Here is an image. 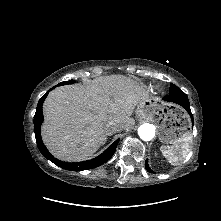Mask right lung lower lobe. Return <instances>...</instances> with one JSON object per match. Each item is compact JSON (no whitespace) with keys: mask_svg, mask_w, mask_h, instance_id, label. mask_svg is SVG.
<instances>
[{"mask_svg":"<svg viewBox=\"0 0 221 221\" xmlns=\"http://www.w3.org/2000/svg\"><path fill=\"white\" fill-rule=\"evenodd\" d=\"M52 89H54V87L51 88L49 91H51ZM49 91L44 96H42V98L39 100L37 108H36V113L34 116V132H35V137H36V143H37V146H38L41 154L46 159L50 160L51 162H53L57 166H59L63 169H66V170H70V171H82V170L92 169V168L98 167V166L104 164L106 161H108L112 157V155L114 154L117 144L119 142V139H117L113 144H111L99 156H97L91 160H87V161H83V162H79V163L63 162V161H60V160L54 158L49 153V151L47 150V148L45 147V145L42 142L41 134H40V126L44 120L43 113H42V105H43V102H44L45 98L47 97Z\"/></svg>","mask_w":221,"mask_h":221,"instance_id":"obj_1","label":"right lung lower lobe"}]
</instances>
